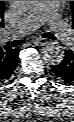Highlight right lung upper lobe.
Returning a JSON list of instances; mask_svg holds the SVG:
<instances>
[{"label": "right lung upper lobe", "mask_w": 74, "mask_h": 122, "mask_svg": "<svg viewBox=\"0 0 74 122\" xmlns=\"http://www.w3.org/2000/svg\"><path fill=\"white\" fill-rule=\"evenodd\" d=\"M3 12H4V1H0V28L3 27ZM15 49L5 46L4 49L0 47V64H6L13 54Z\"/></svg>", "instance_id": "obj_1"}]
</instances>
